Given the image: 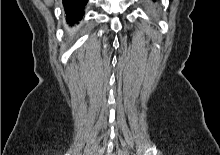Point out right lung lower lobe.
<instances>
[{
	"mask_svg": "<svg viewBox=\"0 0 220 155\" xmlns=\"http://www.w3.org/2000/svg\"><path fill=\"white\" fill-rule=\"evenodd\" d=\"M88 0H63L66 21L73 26L84 15V7Z\"/></svg>",
	"mask_w": 220,
	"mask_h": 155,
	"instance_id": "98d812e1",
	"label": "right lung lower lobe"
}]
</instances>
